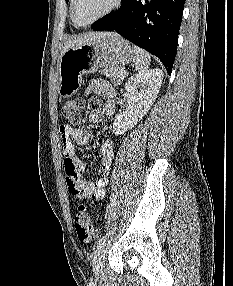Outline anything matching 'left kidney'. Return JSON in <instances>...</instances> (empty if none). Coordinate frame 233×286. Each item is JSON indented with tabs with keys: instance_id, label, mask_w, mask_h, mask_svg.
<instances>
[{
	"instance_id": "1",
	"label": "left kidney",
	"mask_w": 233,
	"mask_h": 286,
	"mask_svg": "<svg viewBox=\"0 0 233 286\" xmlns=\"http://www.w3.org/2000/svg\"><path fill=\"white\" fill-rule=\"evenodd\" d=\"M163 80L160 69H150L130 77L125 84L128 93L125 112L117 114L113 123L115 135L124 134L143 118L155 102Z\"/></svg>"
}]
</instances>
